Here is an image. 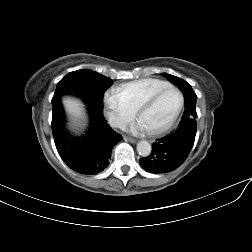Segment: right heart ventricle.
<instances>
[{"mask_svg": "<svg viewBox=\"0 0 252 252\" xmlns=\"http://www.w3.org/2000/svg\"><path fill=\"white\" fill-rule=\"evenodd\" d=\"M168 86L170 85L164 81L148 78L123 84L117 90L126 97L134 109H137L148 97Z\"/></svg>", "mask_w": 252, "mask_h": 252, "instance_id": "right-heart-ventricle-1", "label": "right heart ventricle"}]
</instances>
